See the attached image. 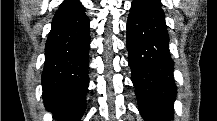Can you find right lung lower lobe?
<instances>
[{"label":"right lung lower lobe","mask_w":217,"mask_h":121,"mask_svg":"<svg viewBox=\"0 0 217 121\" xmlns=\"http://www.w3.org/2000/svg\"><path fill=\"white\" fill-rule=\"evenodd\" d=\"M89 45L83 5L64 1L52 20L42 73L43 101L58 121H79L85 111Z\"/></svg>","instance_id":"right-lung-lower-lobe-1"}]
</instances>
